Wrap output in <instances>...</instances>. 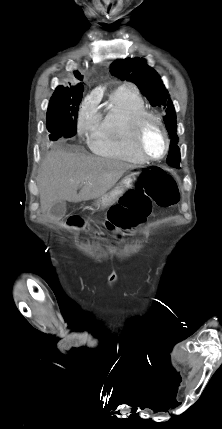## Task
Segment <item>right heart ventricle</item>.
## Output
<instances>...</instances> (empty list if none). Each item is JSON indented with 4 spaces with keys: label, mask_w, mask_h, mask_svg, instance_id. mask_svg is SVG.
I'll return each mask as SVG.
<instances>
[{
    "label": "right heart ventricle",
    "mask_w": 222,
    "mask_h": 429,
    "mask_svg": "<svg viewBox=\"0 0 222 429\" xmlns=\"http://www.w3.org/2000/svg\"><path fill=\"white\" fill-rule=\"evenodd\" d=\"M146 110L140 94L132 87H120L112 93L105 114L91 134L89 145L98 155L142 164L146 160L133 144V122Z\"/></svg>",
    "instance_id": "e07e8e85"
}]
</instances>
